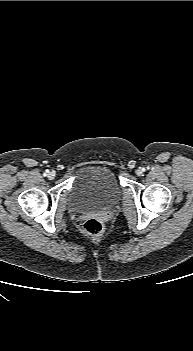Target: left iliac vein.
I'll list each match as a JSON object with an SVG mask.
<instances>
[{"instance_id":"left-iliac-vein-1","label":"left iliac vein","mask_w":193,"mask_h":351,"mask_svg":"<svg viewBox=\"0 0 193 351\" xmlns=\"http://www.w3.org/2000/svg\"><path fill=\"white\" fill-rule=\"evenodd\" d=\"M136 174H137L138 176H141V175L143 174V170H142V169H138V170L136 171Z\"/></svg>"}]
</instances>
